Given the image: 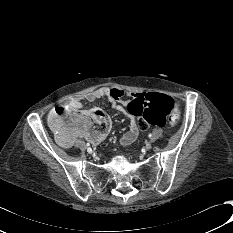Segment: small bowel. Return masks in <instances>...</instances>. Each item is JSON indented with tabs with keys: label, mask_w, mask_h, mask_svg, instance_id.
<instances>
[{
	"label": "small bowel",
	"mask_w": 233,
	"mask_h": 233,
	"mask_svg": "<svg viewBox=\"0 0 233 233\" xmlns=\"http://www.w3.org/2000/svg\"><path fill=\"white\" fill-rule=\"evenodd\" d=\"M138 93H129L130 97L136 96ZM126 95V93L117 87H102L96 89L94 91L88 92L82 97H74L70 98L66 101L65 105L68 106L71 110L72 116H75L76 112L83 108V99L87 101H95L97 99L105 98L109 101L112 108L116 109L117 111L123 113L130 121L129 129L126 133H124L120 138V143L123 145H130L132 144L138 134L139 128L137 125L138 118L131 117L126 110V104L122 105L121 100ZM54 111V110H53ZM50 113V115L53 113ZM110 129L108 127L100 133L89 134L83 130H72L63 135H56L57 141L60 145L64 147H70L73 145L74 140L77 137H85L88 141H90L93 145H97L101 143L106 136L108 135Z\"/></svg>",
	"instance_id": "c3829d8e"
}]
</instances>
